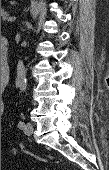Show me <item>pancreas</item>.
<instances>
[{
  "mask_svg": "<svg viewBox=\"0 0 109 170\" xmlns=\"http://www.w3.org/2000/svg\"><path fill=\"white\" fill-rule=\"evenodd\" d=\"M5 16H8V13L4 9H1V19L4 20Z\"/></svg>",
  "mask_w": 109,
  "mask_h": 170,
  "instance_id": "pancreas-1",
  "label": "pancreas"
}]
</instances>
